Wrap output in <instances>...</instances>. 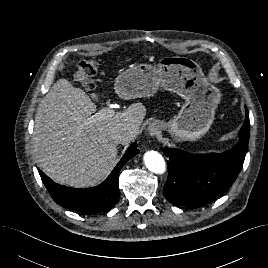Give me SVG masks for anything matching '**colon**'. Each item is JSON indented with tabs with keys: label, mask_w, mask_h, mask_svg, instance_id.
Returning a JSON list of instances; mask_svg holds the SVG:
<instances>
[{
	"label": "colon",
	"mask_w": 268,
	"mask_h": 268,
	"mask_svg": "<svg viewBox=\"0 0 268 268\" xmlns=\"http://www.w3.org/2000/svg\"><path fill=\"white\" fill-rule=\"evenodd\" d=\"M99 63L95 60H81L77 65L75 82L81 86L92 88L94 85L91 78L96 74Z\"/></svg>",
	"instance_id": "5ec220e1"
}]
</instances>
